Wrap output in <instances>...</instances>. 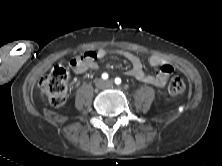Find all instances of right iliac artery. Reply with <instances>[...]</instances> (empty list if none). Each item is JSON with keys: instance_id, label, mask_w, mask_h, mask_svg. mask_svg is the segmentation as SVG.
I'll list each match as a JSON object with an SVG mask.
<instances>
[{"instance_id": "right-iliac-artery-1", "label": "right iliac artery", "mask_w": 222, "mask_h": 166, "mask_svg": "<svg viewBox=\"0 0 222 166\" xmlns=\"http://www.w3.org/2000/svg\"><path fill=\"white\" fill-rule=\"evenodd\" d=\"M102 79L103 80H107L108 79V74L107 73H103L102 74Z\"/></svg>"}]
</instances>
